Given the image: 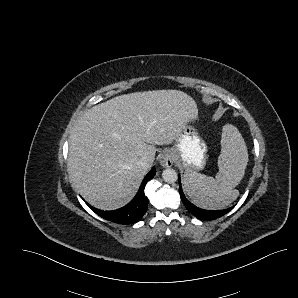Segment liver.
Returning <instances> with one entry per match:
<instances>
[{"instance_id": "obj_1", "label": "liver", "mask_w": 298, "mask_h": 298, "mask_svg": "<svg viewBox=\"0 0 298 298\" xmlns=\"http://www.w3.org/2000/svg\"><path fill=\"white\" fill-rule=\"evenodd\" d=\"M198 120L195 100L181 90L161 89L116 96L87 110L70 136L69 172L92 206L114 210L137 192L153 164L156 145H170L185 123Z\"/></svg>"}]
</instances>
